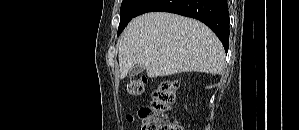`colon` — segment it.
Here are the masks:
<instances>
[{
	"label": "colon",
	"instance_id": "colon-1",
	"mask_svg": "<svg viewBox=\"0 0 299 130\" xmlns=\"http://www.w3.org/2000/svg\"><path fill=\"white\" fill-rule=\"evenodd\" d=\"M146 80L138 78L130 81L127 92L132 96H139L144 92ZM177 82L173 79L163 80L152 94L149 107H143L138 115L142 120L141 130H182L168 117L176 97Z\"/></svg>",
	"mask_w": 299,
	"mask_h": 130
}]
</instances>
